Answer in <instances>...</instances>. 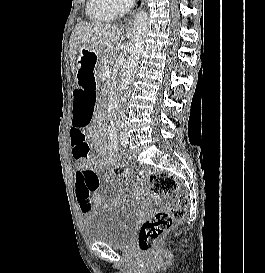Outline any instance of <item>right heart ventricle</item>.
I'll return each mask as SVG.
<instances>
[{
	"label": "right heart ventricle",
	"mask_w": 265,
	"mask_h": 273,
	"mask_svg": "<svg viewBox=\"0 0 265 273\" xmlns=\"http://www.w3.org/2000/svg\"><path fill=\"white\" fill-rule=\"evenodd\" d=\"M88 15L95 21H106L112 19L116 13L112 11L104 0H89Z\"/></svg>",
	"instance_id": "obj_1"
}]
</instances>
